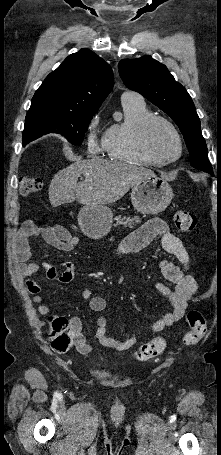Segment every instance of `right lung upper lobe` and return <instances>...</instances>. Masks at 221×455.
I'll use <instances>...</instances> for the list:
<instances>
[{
  "label": "right lung upper lobe",
  "mask_w": 221,
  "mask_h": 455,
  "mask_svg": "<svg viewBox=\"0 0 221 455\" xmlns=\"http://www.w3.org/2000/svg\"><path fill=\"white\" fill-rule=\"evenodd\" d=\"M114 77L110 65L89 49L69 55L43 81L31 106L96 112L110 93Z\"/></svg>",
  "instance_id": "1"
}]
</instances>
